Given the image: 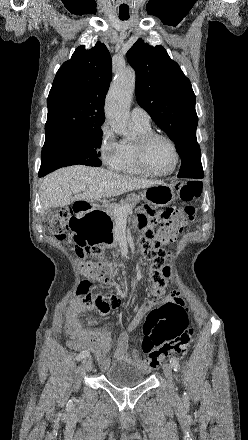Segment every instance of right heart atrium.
<instances>
[{
    "label": "right heart atrium",
    "instance_id": "1",
    "mask_svg": "<svg viewBox=\"0 0 248 440\" xmlns=\"http://www.w3.org/2000/svg\"><path fill=\"white\" fill-rule=\"evenodd\" d=\"M97 153L105 166L115 170L120 160L121 144L116 140L114 133L107 123L101 126Z\"/></svg>",
    "mask_w": 248,
    "mask_h": 440
}]
</instances>
